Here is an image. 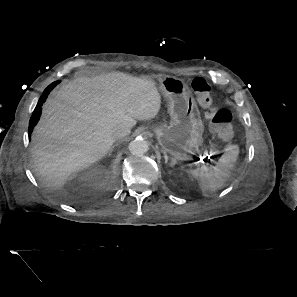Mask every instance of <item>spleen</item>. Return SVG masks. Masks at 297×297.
<instances>
[{
  "instance_id": "obj_1",
  "label": "spleen",
  "mask_w": 297,
  "mask_h": 297,
  "mask_svg": "<svg viewBox=\"0 0 297 297\" xmlns=\"http://www.w3.org/2000/svg\"><path fill=\"white\" fill-rule=\"evenodd\" d=\"M238 153V146L230 145L215 166H202L189 172L193 178L198 180L204 196L217 191L226 183L235 166Z\"/></svg>"
}]
</instances>
